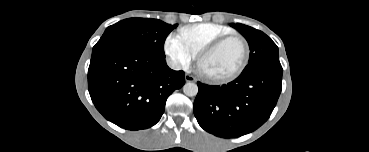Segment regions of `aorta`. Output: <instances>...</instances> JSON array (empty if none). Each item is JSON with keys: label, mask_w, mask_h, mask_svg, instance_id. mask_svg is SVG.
<instances>
[{"label": "aorta", "mask_w": 369, "mask_h": 152, "mask_svg": "<svg viewBox=\"0 0 369 152\" xmlns=\"http://www.w3.org/2000/svg\"><path fill=\"white\" fill-rule=\"evenodd\" d=\"M183 92H184L185 95H187L189 97L196 96L197 93H198V86H197V84H195L193 82H187L183 86Z\"/></svg>", "instance_id": "762f6f07"}]
</instances>
